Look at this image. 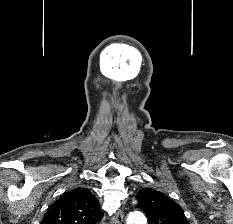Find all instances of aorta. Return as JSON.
Listing matches in <instances>:
<instances>
[{
    "label": "aorta",
    "mask_w": 233,
    "mask_h": 224,
    "mask_svg": "<svg viewBox=\"0 0 233 224\" xmlns=\"http://www.w3.org/2000/svg\"><path fill=\"white\" fill-rule=\"evenodd\" d=\"M126 224H146V219L141 212L130 213Z\"/></svg>",
    "instance_id": "obj_1"
}]
</instances>
